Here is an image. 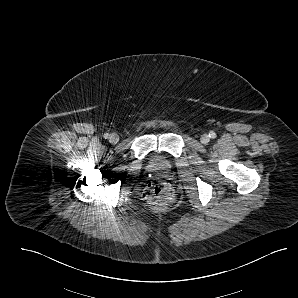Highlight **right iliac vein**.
<instances>
[{
	"instance_id": "obj_1",
	"label": "right iliac vein",
	"mask_w": 298,
	"mask_h": 298,
	"mask_svg": "<svg viewBox=\"0 0 298 298\" xmlns=\"http://www.w3.org/2000/svg\"><path fill=\"white\" fill-rule=\"evenodd\" d=\"M109 141L113 144H116L119 141V136L113 133L109 136Z\"/></svg>"
}]
</instances>
